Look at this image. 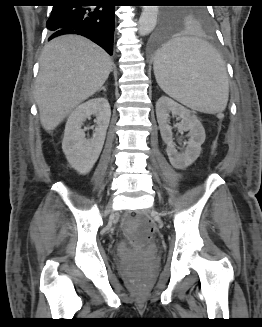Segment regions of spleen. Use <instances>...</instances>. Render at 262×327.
I'll use <instances>...</instances> for the list:
<instances>
[{
	"mask_svg": "<svg viewBox=\"0 0 262 327\" xmlns=\"http://www.w3.org/2000/svg\"><path fill=\"white\" fill-rule=\"evenodd\" d=\"M153 69L160 88L187 107L209 114L226 108L229 82L225 62L206 41L172 39L156 53Z\"/></svg>",
	"mask_w": 262,
	"mask_h": 327,
	"instance_id": "3e777b00",
	"label": "spleen"
}]
</instances>
